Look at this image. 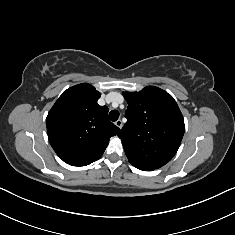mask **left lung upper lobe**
Returning <instances> with one entry per match:
<instances>
[{"label": "left lung upper lobe", "mask_w": 235, "mask_h": 235, "mask_svg": "<svg viewBox=\"0 0 235 235\" xmlns=\"http://www.w3.org/2000/svg\"><path fill=\"white\" fill-rule=\"evenodd\" d=\"M127 122L118 133L132 165L158 169L176 154L184 135V119L174 98L148 86L124 92Z\"/></svg>", "instance_id": "1"}]
</instances>
